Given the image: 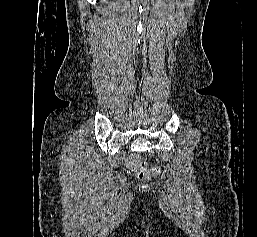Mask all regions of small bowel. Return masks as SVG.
Returning a JSON list of instances; mask_svg holds the SVG:
<instances>
[{
	"label": "small bowel",
	"mask_w": 257,
	"mask_h": 237,
	"mask_svg": "<svg viewBox=\"0 0 257 237\" xmlns=\"http://www.w3.org/2000/svg\"><path fill=\"white\" fill-rule=\"evenodd\" d=\"M132 164V162L131 161H129V165H131Z\"/></svg>",
	"instance_id": "1"
}]
</instances>
